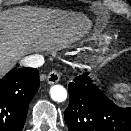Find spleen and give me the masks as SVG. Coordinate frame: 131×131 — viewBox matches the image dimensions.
<instances>
[{
    "instance_id": "obj_1",
    "label": "spleen",
    "mask_w": 131,
    "mask_h": 131,
    "mask_svg": "<svg viewBox=\"0 0 131 131\" xmlns=\"http://www.w3.org/2000/svg\"><path fill=\"white\" fill-rule=\"evenodd\" d=\"M119 86H125V84H116V87H119Z\"/></svg>"
}]
</instances>
